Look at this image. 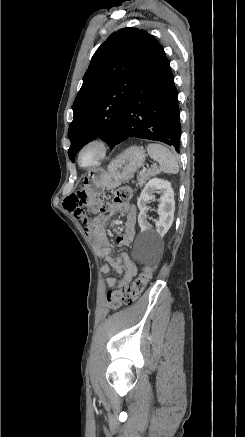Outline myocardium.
Instances as JSON below:
<instances>
[{
	"mask_svg": "<svg viewBox=\"0 0 245 437\" xmlns=\"http://www.w3.org/2000/svg\"><path fill=\"white\" fill-rule=\"evenodd\" d=\"M89 149H93L95 151V157L90 163L83 164L82 155L85 151ZM108 150H109V144L105 139L101 137L92 138L86 141L84 144H82V146L79 148L77 152V163L82 168H86V169L93 168L98 164H100V162H102L105 159Z\"/></svg>",
	"mask_w": 245,
	"mask_h": 437,
	"instance_id": "myocardium-1",
	"label": "myocardium"
}]
</instances>
